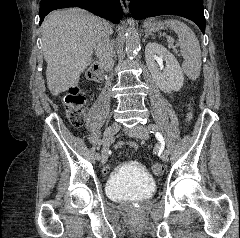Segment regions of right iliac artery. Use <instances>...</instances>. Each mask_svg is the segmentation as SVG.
<instances>
[{"label":"right iliac artery","mask_w":240,"mask_h":238,"mask_svg":"<svg viewBox=\"0 0 240 238\" xmlns=\"http://www.w3.org/2000/svg\"><path fill=\"white\" fill-rule=\"evenodd\" d=\"M97 144H98L99 147H102V146L104 145V144H103V141H101V140H98V141H97ZM94 155H95V157H96L97 159H100V155H101L100 152L97 151V152H95Z\"/></svg>","instance_id":"1"}]
</instances>
